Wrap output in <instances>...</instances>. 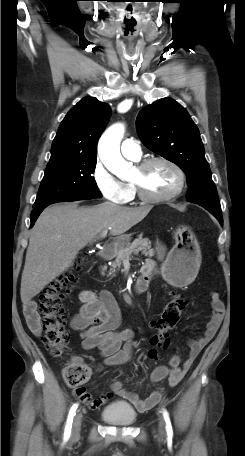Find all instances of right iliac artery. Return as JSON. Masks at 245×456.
<instances>
[{
  "label": "right iliac artery",
  "instance_id": "82829eb1",
  "mask_svg": "<svg viewBox=\"0 0 245 456\" xmlns=\"http://www.w3.org/2000/svg\"><path fill=\"white\" fill-rule=\"evenodd\" d=\"M78 408V404H74L70 411H69V414H68V417H67V421H66V425H65V431H64V439L65 440H68L69 437H70V434H71V428H72V422H73V418L76 414V410Z\"/></svg>",
  "mask_w": 245,
  "mask_h": 456
}]
</instances>
